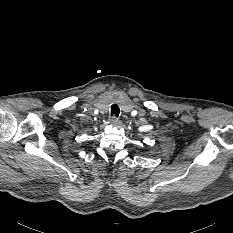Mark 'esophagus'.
<instances>
[{"label": "esophagus", "instance_id": "1", "mask_svg": "<svg viewBox=\"0 0 233 233\" xmlns=\"http://www.w3.org/2000/svg\"><path fill=\"white\" fill-rule=\"evenodd\" d=\"M110 123L113 125V126H120L121 125V121L116 118L115 116H112L111 119H110Z\"/></svg>", "mask_w": 233, "mask_h": 233}]
</instances>
